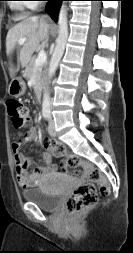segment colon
Masks as SVG:
<instances>
[{
    "mask_svg": "<svg viewBox=\"0 0 133 253\" xmlns=\"http://www.w3.org/2000/svg\"><path fill=\"white\" fill-rule=\"evenodd\" d=\"M8 115L13 126L23 128L29 120L28 108L18 99L9 98L6 101ZM45 146L56 156L64 157L63 168L83 167L84 174L91 181L78 187L68 198L65 209L69 213H77L93 207L98 200L96 185L102 195L109 193L110 185L99 169L91 164L84 163L75 154L66 152L64 145L58 141L47 140ZM96 184V185H95Z\"/></svg>",
    "mask_w": 133,
    "mask_h": 253,
    "instance_id": "5ec220e1",
    "label": "colon"
}]
</instances>
